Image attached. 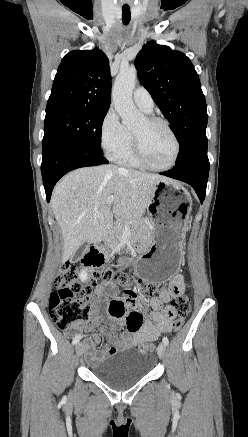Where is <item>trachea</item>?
Wrapping results in <instances>:
<instances>
[{"label": "trachea", "instance_id": "obj_1", "mask_svg": "<svg viewBox=\"0 0 248 437\" xmlns=\"http://www.w3.org/2000/svg\"><path fill=\"white\" fill-rule=\"evenodd\" d=\"M131 19V12L130 8H123L122 9V21L124 25H128Z\"/></svg>", "mask_w": 248, "mask_h": 437}]
</instances>
